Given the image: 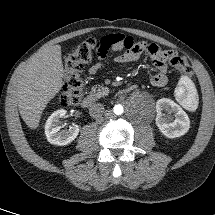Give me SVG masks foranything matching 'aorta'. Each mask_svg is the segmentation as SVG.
<instances>
[{
  "label": "aorta",
  "mask_w": 215,
  "mask_h": 215,
  "mask_svg": "<svg viewBox=\"0 0 215 215\" xmlns=\"http://www.w3.org/2000/svg\"><path fill=\"white\" fill-rule=\"evenodd\" d=\"M114 113L116 114V115H121V114H123V112H124V109H123V107L121 106V105H116L115 107H114Z\"/></svg>",
  "instance_id": "aorta-1"
}]
</instances>
